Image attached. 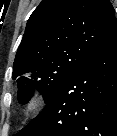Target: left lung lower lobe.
Returning <instances> with one entry per match:
<instances>
[{
    "instance_id": "0a47b994",
    "label": "left lung lower lobe",
    "mask_w": 117,
    "mask_h": 136,
    "mask_svg": "<svg viewBox=\"0 0 117 136\" xmlns=\"http://www.w3.org/2000/svg\"><path fill=\"white\" fill-rule=\"evenodd\" d=\"M16 136H117V25Z\"/></svg>"
}]
</instances>
